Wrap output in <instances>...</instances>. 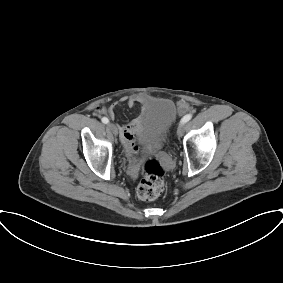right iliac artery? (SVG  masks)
<instances>
[{"label": "right iliac artery", "mask_w": 283, "mask_h": 283, "mask_svg": "<svg viewBox=\"0 0 283 283\" xmlns=\"http://www.w3.org/2000/svg\"><path fill=\"white\" fill-rule=\"evenodd\" d=\"M101 120L104 124H107L109 122L108 118L106 117H103Z\"/></svg>", "instance_id": "1"}]
</instances>
